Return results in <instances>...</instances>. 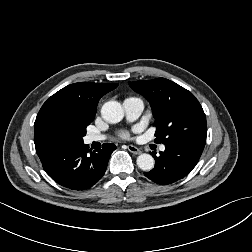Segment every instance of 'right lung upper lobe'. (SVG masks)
Wrapping results in <instances>:
<instances>
[{"mask_svg": "<svg viewBox=\"0 0 252 252\" xmlns=\"http://www.w3.org/2000/svg\"><path fill=\"white\" fill-rule=\"evenodd\" d=\"M118 86L116 83L80 82L64 87L41 107L34 127L47 116L59 113L76 121L92 122L99 99Z\"/></svg>", "mask_w": 252, "mask_h": 252, "instance_id": "obj_1", "label": "right lung upper lobe"}]
</instances>
